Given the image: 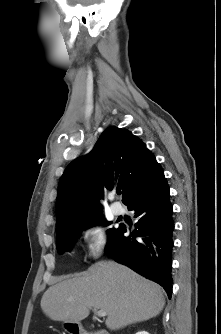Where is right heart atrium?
<instances>
[{
	"label": "right heart atrium",
	"mask_w": 221,
	"mask_h": 334,
	"mask_svg": "<svg viewBox=\"0 0 221 334\" xmlns=\"http://www.w3.org/2000/svg\"><path fill=\"white\" fill-rule=\"evenodd\" d=\"M81 238L88 257L93 260L101 257L108 246L106 230L104 226L97 221H92L82 228Z\"/></svg>",
	"instance_id": "obj_1"
}]
</instances>
